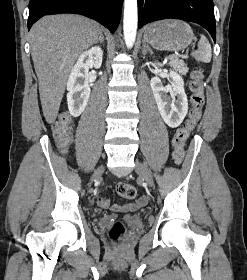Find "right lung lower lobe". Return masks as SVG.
I'll return each mask as SVG.
<instances>
[{
    "instance_id": "right-lung-lower-lobe-1",
    "label": "right lung lower lobe",
    "mask_w": 247,
    "mask_h": 280,
    "mask_svg": "<svg viewBox=\"0 0 247 280\" xmlns=\"http://www.w3.org/2000/svg\"><path fill=\"white\" fill-rule=\"evenodd\" d=\"M123 0H30L28 30L42 16L75 13L99 21L112 33L117 29Z\"/></svg>"
}]
</instances>
